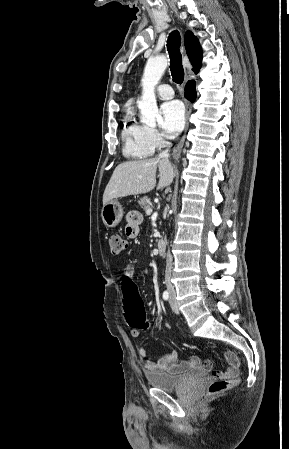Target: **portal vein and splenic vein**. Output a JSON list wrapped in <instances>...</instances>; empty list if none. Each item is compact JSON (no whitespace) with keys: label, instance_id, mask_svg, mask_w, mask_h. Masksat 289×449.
Wrapping results in <instances>:
<instances>
[{"label":"portal vein and splenic vein","instance_id":"portal-vein-and-splenic-vein-1","mask_svg":"<svg viewBox=\"0 0 289 449\" xmlns=\"http://www.w3.org/2000/svg\"><path fill=\"white\" fill-rule=\"evenodd\" d=\"M152 211H153L152 208H149V209L146 210V214L150 215L152 213Z\"/></svg>","mask_w":289,"mask_h":449}]
</instances>
